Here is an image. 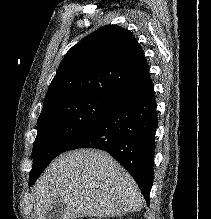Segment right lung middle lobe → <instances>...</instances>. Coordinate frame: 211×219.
Instances as JSON below:
<instances>
[{"mask_svg": "<svg viewBox=\"0 0 211 219\" xmlns=\"http://www.w3.org/2000/svg\"><path fill=\"white\" fill-rule=\"evenodd\" d=\"M114 105L99 97H81L60 101L44 109L37 122L38 132L33 145L29 185L74 139Z\"/></svg>", "mask_w": 211, "mask_h": 219, "instance_id": "obj_1", "label": "right lung middle lobe"}]
</instances>
